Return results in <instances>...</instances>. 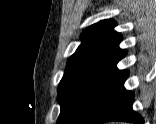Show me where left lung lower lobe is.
Returning a JSON list of instances; mask_svg holds the SVG:
<instances>
[{
	"mask_svg": "<svg viewBox=\"0 0 156 124\" xmlns=\"http://www.w3.org/2000/svg\"><path fill=\"white\" fill-rule=\"evenodd\" d=\"M127 76V71L117 70L94 98L78 124H102L109 121L143 124V118L132 109L134 94L123 86Z\"/></svg>",
	"mask_w": 156,
	"mask_h": 124,
	"instance_id": "obj_1",
	"label": "left lung lower lobe"
}]
</instances>
